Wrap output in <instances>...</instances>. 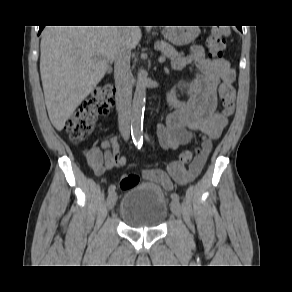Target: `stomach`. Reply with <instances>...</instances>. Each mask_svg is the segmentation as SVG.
<instances>
[{"mask_svg": "<svg viewBox=\"0 0 292 292\" xmlns=\"http://www.w3.org/2000/svg\"><path fill=\"white\" fill-rule=\"evenodd\" d=\"M198 34V26L171 27L164 30V37L178 46L193 42Z\"/></svg>", "mask_w": 292, "mask_h": 292, "instance_id": "obj_1", "label": "stomach"}]
</instances>
